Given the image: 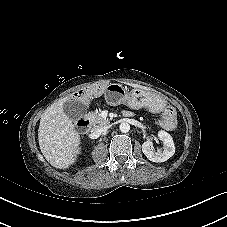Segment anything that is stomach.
I'll use <instances>...</instances> for the list:
<instances>
[{
    "label": "stomach",
    "instance_id": "0dacf381",
    "mask_svg": "<svg viewBox=\"0 0 227 227\" xmlns=\"http://www.w3.org/2000/svg\"><path fill=\"white\" fill-rule=\"evenodd\" d=\"M106 97L113 105L126 103L131 107L146 108L152 112H160L166 106L165 99L160 95L142 89L128 91L119 84H109Z\"/></svg>",
    "mask_w": 227,
    "mask_h": 227
}]
</instances>
